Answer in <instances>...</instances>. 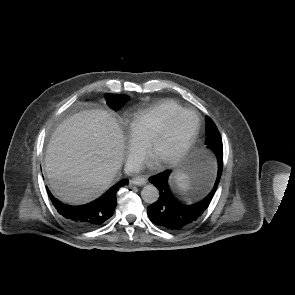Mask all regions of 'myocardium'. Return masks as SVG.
<instances>
[{
	"label": "myocardium",
	"mask_w": 295,
	"mask_h": 295,
	"mask_svg": "<svg viewBox=\"0 0 295 295\" xmlns=\"http://www.w3.org/2000/svg\"><path fill=\"white\" fill-rule=\"evenodd\" d=\"M190 115L194 118V128L189 135L188 139L184 143V145L178 150L174 155L169 158L156 161L157 166L160 168L168 167L175 165L182 161L190 152L192 147L194 146L196 139L198 137L200 131V119L198 115L189 109H182L181 111L175 113L163 126L162 128L152 137L147 145V155L149 158L153 159L154 151L160 142L165 138V136L170 132L174 123L182 116Z\"/></svg>",
	"instance_id": "obj_1"
}]
</instances>
